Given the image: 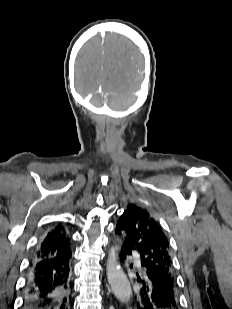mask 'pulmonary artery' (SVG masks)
<instances>
[{"label": "pulmonary artery", "mask_w": 232, "mask_h": 309, "mask_svg": "<svg viewBox=\"0 0 232 309\" xmlns=\"http://www.w3.org/2000/svg\"><path fill=\"white\" fill-rule=\"evenodd\" d=\"M134 257H135L137 260H139V258H138V256H137V255H134Z\"/></svg>", "instance_id": "pulmonary-artery-1"}]
</instances>
